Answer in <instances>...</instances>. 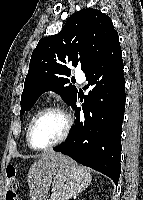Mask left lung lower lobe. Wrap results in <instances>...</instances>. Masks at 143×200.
<instances>
[{"label": "left lung lower lobe", "mask_w": 143, "mask_h": 200, "mask_svg": "<svg viewBox=\"0 0 143 200\" xmlns=\"http://www.w3.org/2000/svg\"><path fill=\"white\" fill-rule=\"evenodd\" d=\"M90 89L81 108L71 104L76 121L67 140L54 148L78 163L95 169L118 184L121 167V129L125 79L118 35L84 72Z\"/></svg>", "instance_id": "0a47b994"}]
</instances>
